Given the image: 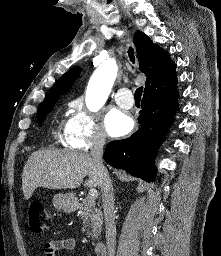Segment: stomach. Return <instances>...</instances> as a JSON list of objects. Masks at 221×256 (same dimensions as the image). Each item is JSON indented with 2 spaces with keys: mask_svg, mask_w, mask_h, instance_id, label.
<instances>
[{
  "mask_svg": "<svg viewBox=\"0 0 221 256\" xmlns=\"http://www.w3.org/2000/svg\"><path fill=\"white\" fill-rule=\"evenodd\" d=\"M53 205L56 209L70 213L76 210L77 199L72 193H59L54 196Z\"/></svg>",
  "mask_w": 221,
  "mask_h": 256,
  "instance_id": "stomach-1",
  "label": "stomach"
}]
</instances>
